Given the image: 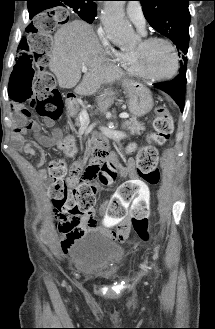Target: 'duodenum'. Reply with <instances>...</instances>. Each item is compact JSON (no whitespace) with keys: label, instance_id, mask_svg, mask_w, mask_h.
<instances>
[{"label":"duodenum","instance_id":"1","mask_svg":"<svg viewBox=\"0 0 215 329\" xmlns=\"http://www.w3.org/2000/svg\"><path fill=\"white\" fill-rule=\"evenodd\" d=\"M73 98H74V95L72 93H67L65 95V100L67 102H71ZM97 141H98V139H96V142ZM92 156L96 157L98 160L106 159V160L111 161L113 158L109 148L107 147V144H99L97 147H95L93 149Z\"/></svg>","mask_w":215,"mask_h":329}]
</instances>
